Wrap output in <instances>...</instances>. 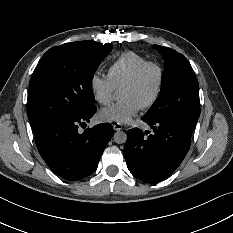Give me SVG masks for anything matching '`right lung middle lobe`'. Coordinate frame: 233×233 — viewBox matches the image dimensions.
Here are the masks:
<instances>
[{"instance_id":"right-lung-middle-lobe-1","label":"right lung middle lobe","mask_w":233,"mask_h":233,"mask_svg":"<svg viewBox=\"0 0 233 233\" xmlns=\"http://www.w3.org/2000/svg\"><path fill=\"white\" fill-rule=\"evenodd\" d=\"M111 43L93 40L49 49L36 66L29 84L31 126L81 114L94 104L92 79Z\"/></svg>"}]
</instances>
